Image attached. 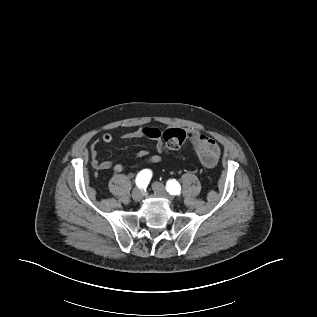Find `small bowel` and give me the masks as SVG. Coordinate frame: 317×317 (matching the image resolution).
I'll use <instances>...</instances> for the list:
<instances>
[{"label": "small bowel", "instance_id": "c3829d8e", "mask_svg": "<svg viewBox=\"0 0 317 317\" xmlns=\"http://www.w3.org/2000/svg\"><path fill=\"white\" fill-rule=\"evenodd\" d=\"M189 141L192 144L193 150L198 156L200 162L206 167H213L220 156L221 149L219 143L206 136L195 129H188ZM123 139H136V138H148L156 142V150L158 153H162L165 148L161 138L160 130L151 127H142L134 131L127 132L121 135ZM105 144L113 142L114 138L110 133H105L101 138ZM91 165L97 171L113 170L115 173H121L124 167L120 163L114 161H101L99 159V150L97 144L92 145L91 150ZM136 157L146 159L148 163H159L162 160L160 154L150 155L148 150L142 149L136 152Z\"/></svg>", "mask_w": 317, "mask_h": 317}]
</instances>
